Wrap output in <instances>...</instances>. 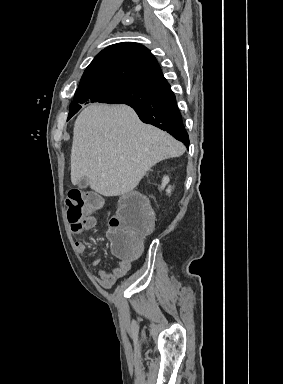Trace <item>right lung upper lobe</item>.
<instances>
[{
  "mask_svg": "<svg viewBox=\"0 0 283 384\" xmlns=\"http://www.w3.org/2000/svg\"><path fill=\"white\" fill-rule=\"evenodd\" d=\"M106 83L156 92L167 81L157 60L146 47L124 42L105 48L94 58L86 68L78 89Z\"/></svg>",
  "mask_w": 283,
  "mask_h": 384,
  "instance_id": "obj_1",
  "label": "right lung upper lobe"
}]
</instances>
